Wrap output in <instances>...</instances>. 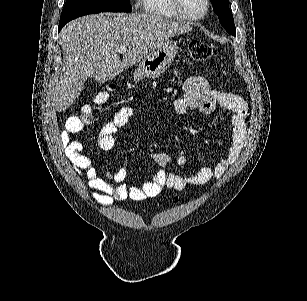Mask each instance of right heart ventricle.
Instances as JSON below:
<instances>
[{
  "label": "right heart ventricle",
  "mask_w": 307,
  "mask_h": 301,
  "mask_svg": "<svg viewBox=\"0 0 307 301\" xmlns=\"http://www.w3.org/2000/svg\"><path fill=\"white\" fill-rule=\"evenodd\" d=\"M172 0H140V4H146L145 12L151 17H176V10L171 9Z\"/></svg>",
  "instance_id": "right-heart-ventricle-1"
}]
</instances>
